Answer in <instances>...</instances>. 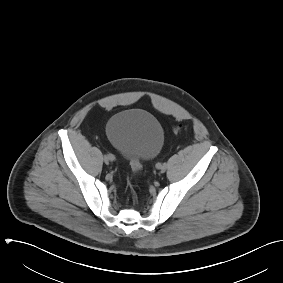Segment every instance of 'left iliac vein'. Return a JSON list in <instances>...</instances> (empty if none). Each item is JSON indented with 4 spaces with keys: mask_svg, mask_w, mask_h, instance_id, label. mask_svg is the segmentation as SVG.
<instances>
[{
    "mask_svg": "<svg viewBox=\"0 0 283 283\" xmlns=\"http://www.w3.org/2000/svg\"><path fill=\"white\" fill-rule=\"evenodd\" d=\"M162 173L165 172L166 170V165L161 164L160 166L157 167Z\"/></svg>",
    "mask_w": 283,
    "mask_h": 283,
    "instance_id": "1",
    "label": "left iliac vein"
}]
</instances>
